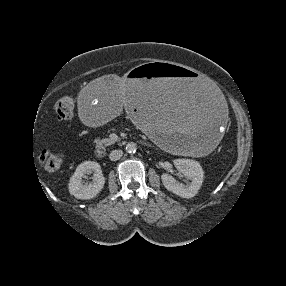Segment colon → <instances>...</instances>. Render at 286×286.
I'll use <instances>...</instances> for the list:
<instances>
[{"label": "colon", "instance_id": "colon-1", "mask_svg": "<svg viewBox=\"0 0 286 286\" xmlns=\"http://www.w3.org/2000/svg\"><path fill=\"white\" fill-rule=\"evenodd\" d=\"M75 108V100L71 96L60 98L55 104V112L59 119H68ZM40 163L47 172L57 171L64 162L62 154L50 150H43L40 154Z\"/></svg>", "mask_w": 286, "mask_h": 286}]
</instances>
